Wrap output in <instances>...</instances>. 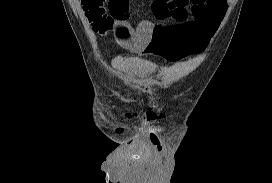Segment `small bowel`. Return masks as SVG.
I'll return each instance as SVG.
<instances>
[{
	"label": "small bowel",
	"mask_w": 272,
	"mask_h": 183,
	"mask_svg": "<svg viewBox=\"0 0 272 183\" xmlns=\"http://www.w3.org/2000/svg\"><path fill=\"white\" fill-rule=\"evenodd\" d=\"M227 7V0H154L153 13L165 23L141 20L134 27L127 11L114 31L115 40L133 53L177 61L208 46ZM127 118L134 116L128 114Z\"/></svg>",
	"instance_id": "obj_1"
}]
</instances>
